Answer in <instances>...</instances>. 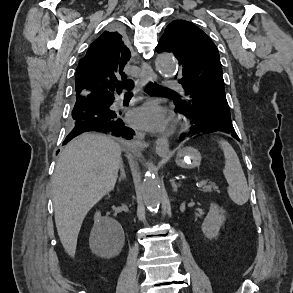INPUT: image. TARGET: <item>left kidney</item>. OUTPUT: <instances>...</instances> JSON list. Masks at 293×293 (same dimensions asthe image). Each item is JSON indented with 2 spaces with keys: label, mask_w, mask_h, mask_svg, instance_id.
Wrapping results in <instances>:
<instances>
[{
  "label": "left kidney",
  "mask_w": 293,
  "mask_h": 293,
  "mask_svg": "<svg viewBox=\"0 0 293 293\" xmlns=\"http://www.w3.org/2000/svg\"><path fill=\"white\" fill-rule=\"evenodd\" d=\"M224 211L218 205L211 203L210 210L204 219L201 229L208 239L216 238L219 235L220 228L224 225Z\"/></svg>",
  "instance_id": "5707ae66"
}]
</instances>
